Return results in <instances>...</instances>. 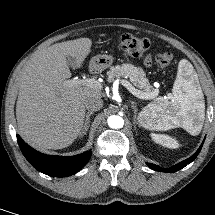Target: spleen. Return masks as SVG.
I'll use <instances>...</instances> for the list:
<instances>
[{
  "label": "spleen",
  "mask_w": 215,
  "mask_h": 215,
  "mask_svg": "<svg viewBox=\"0 0 215 215\" xmlns=\"http://www.w3.org/2000/svg\"><path fill=\"white\" fill-rule=\"evenodd\" d=\"M197 79L193 66L182 59L172 89L173 96L155 99L139 113L138 118L146 122L149 130L166 131L182 127L191 135H198L205 119V103Z\"/></svg>",
  "instance_id": "obj_1"
}]
</instances>
